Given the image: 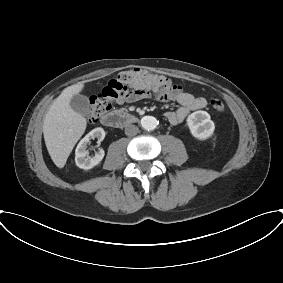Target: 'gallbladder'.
Instances as JSON below:
<instances>
[{
	"label": "gallbladder",
	"mask_w": 283,
	"mask_h": 283,
	"mask_svg": "<svg viewBox=\"0 0 283 283\" xmlns=\"http://www.w3.org/2000/svg\"><path fill=\"white\" fill-rule=\"evenodd\" d=\"M70 106L75 112L81 115L89 114L88 98L84 95L81 94L73 95L70 101Z\"/></svg>",
	"instance_id": "bac80fb5"
}]
</instances>
